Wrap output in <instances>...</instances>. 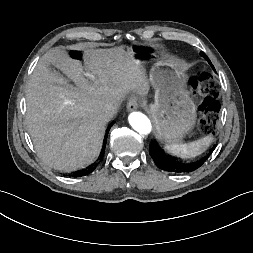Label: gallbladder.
Returning a JSON list of instances; mask_svg holds the SVG:
<instances>
[{"label":"gallbladder","mask_w":253,"mask_h":253,"mask_svg":"<svg viewBox=\"0 0 253 253\" xmlns=\"http://www.w3.org/2000/svg\"><path fill=\"white\" fill-rule=\"evenodd\" d=\"M50 69H51V71H53L56 75L61 76V74H60L58 71H56L54 68H51V67H50Z\"/></svg>","instance_id":"gallbladder-1"}]
</instances>
